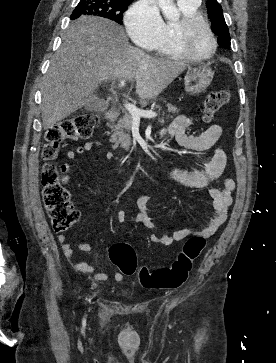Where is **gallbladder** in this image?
Here are the masks:
<instances>
[{"label": "gallbladder", "mask_w": 276, "mask_h": 363, "mask_svg": "<svg viewBox=\"0 0 276 363\" xmlns=\"http://www.w3.org/2000/svg\"><path fill=\"white\" fill-rule=\"evenodd\" d=\"M84 109L90 112H100L105 109V101L96 95H92L85 104Z\"/></svg>", "instance_id": "1"}]
</instances>
